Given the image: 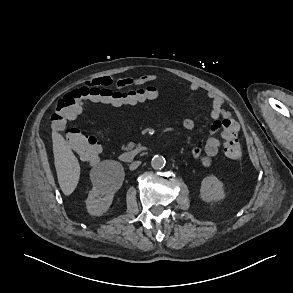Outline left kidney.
Wrapping results in <instances>:
<instances>
[{
  "instance_id": "obj_1",
  "label": "left kidney",
  "mask_w": 293,
  "mask_h": 293,
  "mask_svg": "<svg viewBox=\"0 0 293 293\" xmlns=\"http://www.w3.org/2000/svg\"><path fill=\"white\" fill-rule=\"evenodd\" d=\"M200 196L206 202L219 201L224 199V185L215 176L205 177L201 182Z\"/></svg>"
}]
</instances>
